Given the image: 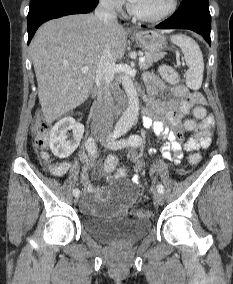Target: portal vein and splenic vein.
Masks as SVG:
<instances>
[{"label": "portal vein and splenic vein", "instance_id": "obj_1", "mask_svg": "<svg viewBox=\"0 0 233 284\" xmlns=\"http://www.w3.org/2000/svg\"><path fill=\"white\" fill-rule=\"evenodd\" d=\"M145 61V58L144 57H139V63H143ZM88 71V67L84 66L82 68V72H87Z\"/></svg>", "mask_w": 233, "mask_h": 284}]
</instances>
